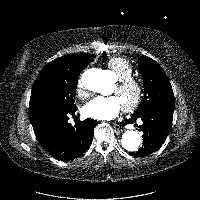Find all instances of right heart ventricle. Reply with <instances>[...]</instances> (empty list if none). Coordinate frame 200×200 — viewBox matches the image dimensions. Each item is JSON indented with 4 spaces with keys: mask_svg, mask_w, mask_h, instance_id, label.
I'll return each instance as SVG.
<instances>
[{
    "mask_svg": "<svg viewBox=\"0 0 200 200\" xmlns=\"http://www.w3.org/2000/svg\"><path fill=\"white\" fill-rule=\"evenodd\" d=\"M106 65L118 80L132 77L134 74L131 62L124 57H112L107 60Z\"/></svg>",
    "mask_w": 200,
    "mask_h": 200,
    "instance_id": "right-heart-ventricle-1",
    "label": "right heart ventricle"
}]
</instances>
